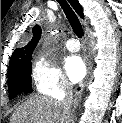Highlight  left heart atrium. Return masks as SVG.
Returning <instances> with one entry per match:
<instances>
[{
  "label": "left heart atrium",
  "mask_w": 122,
  "mask_h": 123,
  "mask_svg": "<svg viewBox=\"0 0 122 123\" xmlns=\"http://www.w3.org/2000/svg\"><path fill=\"white\" fill-rule=\"evenodd\" d=\"M65 71L71 82L81 81L86 74V67L82 58L77 55L68 57L65 61Z\"/></svg>",
  "instance_id": "left-heart-atrium-1"
}]
</instances>
